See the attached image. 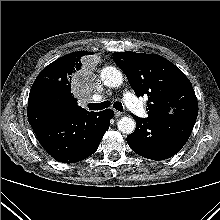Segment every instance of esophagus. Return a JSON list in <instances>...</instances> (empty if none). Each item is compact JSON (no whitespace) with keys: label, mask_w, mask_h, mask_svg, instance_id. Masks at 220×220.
Returning a JSON list of instances; mask_svg holds the SVG:
<instances>
[{"label":"esophagus","mask_w":220,"mask_h":220,"mask_svg":"<svg viewBox=\"0 0 220 220\" xmlns=\"http://www.w3.org/2000/svg\"><path fill=\"white\" fill-rule=\"evenodd\" d=\"M114 115H115V117H121L123 115V113L115 110Z\"/></svg>","instance_id":"obj_1"}]
</instances>
